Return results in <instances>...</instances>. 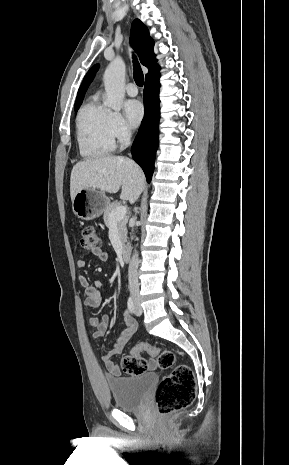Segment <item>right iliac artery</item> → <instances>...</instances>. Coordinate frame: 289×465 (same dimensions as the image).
I'll return each instance as SVG.
<instances>
[{"mask_svg": "<svg viewBox=\"0 0 289 465\" xmlns=\"http://www.w3.org/2000/svg\"><path fill=\"white\" fill-rule=\"evenodd\" d=\"M127 307L128 310L131 314L134 313L135 305L132 297H129L128 302H127Z\"/></svg>", "mask_w": 289, "mask_h": 465, "instance_id": "obj_1", "label": "right iliac artery"}]
</instances>
